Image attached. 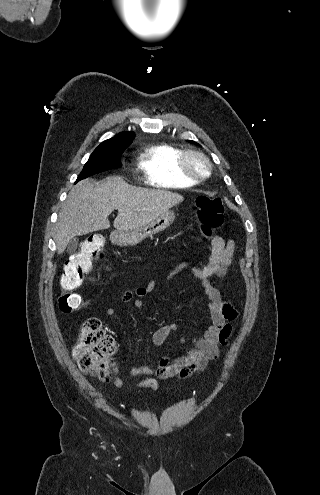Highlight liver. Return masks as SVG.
Returning a JSON list of instances; mask_svg holds the SVG:
<instances>
[{"label":"liver","mask_w":320,"mask_h":495,"mask_svg":"<svg viewBox=\"0 0 320 495\" xmlns=\"http://www.w3.org/2000/svg\"><path fill=\"white\" fill-rule=\"evenodd\" d=\"M182 201L177 193L134 187L120 176L99 185L85 179L73 187L59 213L54 235L57 253H63L75 236L108 229V216L114 210H118L114 228L126 231L150 223Z\"/></svg>","instance_id":"1"}]
</instances>
